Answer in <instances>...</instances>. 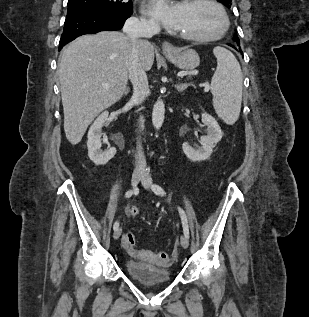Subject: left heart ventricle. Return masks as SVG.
I'll list each match as a JSON object with an SVG mask.
<instances>
[{
  "label": "left heart ventricle",
  "mask_w": 309,
  "mask_h": 317,
  "mask_svg": "<svg viewBox=\"0 0 309 317\" xmlns=\"http://www.w3.org/2000/svg\"><path fill=\"white\" fill-rule=\"evenodd\" d=\"M221 17L218 11L207 3L185 2L177 31L184 34L209 36L220 29Z\"/></svg>",
  "instance_id": "left-heart-ventricle-1"
}]
</instances>
